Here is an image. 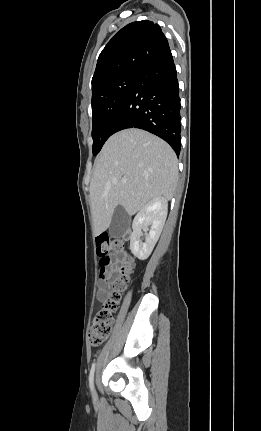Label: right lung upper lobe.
I'll list each match as a JSON object with an SVG mask.
<instances>
[{"mask_svg":"<svg viewBox=\"0 0 261 431\" xmlns=\"http://www.w3.org/2000/svg\"><path fill=\"white\" fill-rule=\"evenodd\" d=\"M167 49V38L158 24L145 20L126 25L100 53L92 78V90L122 74L139 73Z\"/></svg>","mask_w":261,"mask_h":431,"instance_id":"1","label":"right lung upper lobe"}]
</instances>
